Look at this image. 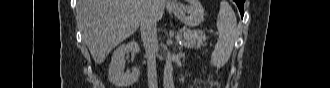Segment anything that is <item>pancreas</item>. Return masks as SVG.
<instances>
[{"instance_id":"cf45deb5","label":"pancreas","mask_w":330,"mask_h":88,"mask_svg":"<svg viewBox=\"0 0 330 88\" xmlns=\"http://www.w3.org/2000/svg\"><path fill=\"white\" fill-rule=\"evenodd\" d=\"M180 32L183 35L182 47L199 49L206 45L207 37L203 31L183 28Z\"/></svg>"}]
</instances>
